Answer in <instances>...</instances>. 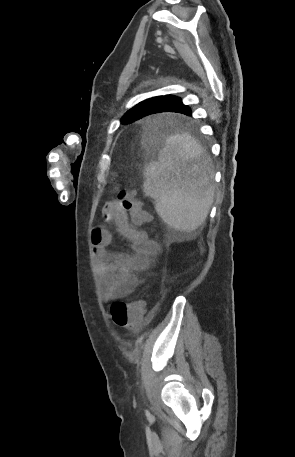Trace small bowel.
Wrapping results in <instances>:
<instances>
[{
	"mask_svg": "<svg viewBox=\"0 0 295 457\" xmlns=\"http://www.w3.org/2000/svg\"><path fill=\"white\" fill-rule=\"evenodd\" d=\"M102 216L113 223L118 232L130 242V254L109 251L112 235L105 226L92 230L91 239L97 273L101 278L103 298L120 299L131 294L139 284L138 274L148 270L153 258L160 252L159 244L148 234L129 223L127 212L119 201L106 202Z\"/></svg>",
	"mask_w": 295,
	"mask_h": 457,
	"instance_id": "small-bowel-1",
	"label": "small bowel"
}]
</instances>
